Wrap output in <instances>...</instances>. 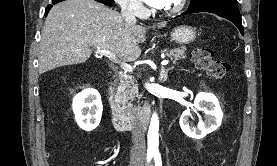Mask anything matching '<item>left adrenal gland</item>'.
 <instances>
[{
    "mask_svg": "<svg viewBox=\"0 0 277 166\" xmlns=\"http://www.w3.org/2000/svg\"><path fill=\"white\" fill-rule=\"evenodd\" d=\"M173 69V67L165 69L164 67L161 68V76L163 78V81L165 82L167 80L168 77V72Z\"/></svg>",
    "mask_w": 277,
    "mask_h": 166,
    "instance_id": "a2214340",
    "label": "left adrenal gland"
}]
</instances>
